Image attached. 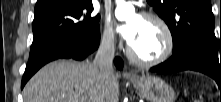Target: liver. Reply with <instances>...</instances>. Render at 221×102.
I'll list each match as a JSON object with an SVG mask.
<instances>
[{"mask_svg": "<svg viewBox=\"0 0 221 102\" xmlns=\"http://www.w3.org/2000/svg\"><path fill=\"white\" fill-rule=\"evenodd\" d=\"M119 74L94 63L57 60L41 68L23 89L24 102H118Z\"/></svg>", "mask_w": 221, "mask_h": 102, "instance_id": "liver-1", "label": "liver"}]
</instances>
